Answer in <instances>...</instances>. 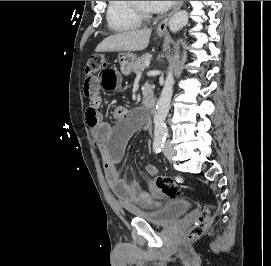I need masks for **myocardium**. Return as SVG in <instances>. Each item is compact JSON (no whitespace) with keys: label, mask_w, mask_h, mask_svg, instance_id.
Instances as JSON below:
<instances>
[{"label":"myocardium","mask_w":271,"mask_h":266,"mask_svg":"<svg viewBox=\"0 0 271 266\" xmlns=\"http://www.w3.org/2000/svg\"><path fill=\"white\" fill-rule=\"evenodd\" d=\"M132 12L141 20H149L153 17V12L140 8L136 5V1H129Z\"/></svg>","instance_id":"myocardium-1"}]
</instances>
